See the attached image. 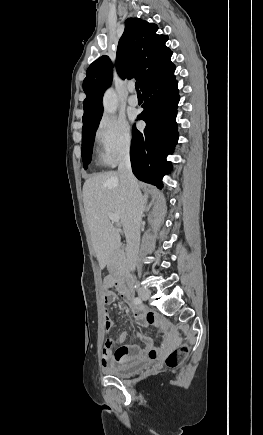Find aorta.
Here are the masks:
<instances>
[{
	"mask_svg": "<svg viewBox=\"0 0 263 435\" xmlns=\"http://www.w3.org/2000/svg\"><path fill=\"white\" fill-rule=\"evenodd\" d=\"M104 111L108 114H114L117 110V102L112 89L108 90L103 98Z\"/></svg>",
	"mask_w": 263,
	"mask_h": 435,
	"instance_id": "aorta-1",
	"label": "aorta"
}]
</instances>
